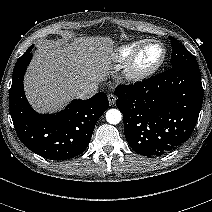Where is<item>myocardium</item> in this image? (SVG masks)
Returning <instances> with one entry per match:
<instances>
[{
	"label": "myocardium",
	"mask_w": 212,
	"mask_h": 212,
	"mask_svg": "<svg viewBox=\"0 0 212 212\" xmlns=\"http://www.w3.org/2000/svg\"><path fill=\"white\" fill-rule=\"evenodd\" d=\"M151 45H158L161 48V56L153 64L141 67L138 63L141 53ZM166 58V49L164 45L157 40H148L140 43L128 58L125 66V77L133 82L145 80L156 73L162 66Z\"/></svg>",
	"instance_id": "myocardium-1"
}]
</instances>
